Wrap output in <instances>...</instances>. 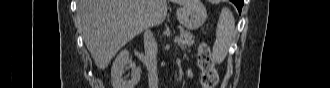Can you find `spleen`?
Here are the masks:
<instances>
[{"label":"spleen","instance_id":"1","mask_svg":"<svg viewBox=\"0 0 330 88\" xmlns=\"http://www.w3.org/2000/svg\"><path fill=\"white\" fill-rule=\"evenodd\" d=\"M236 39L235 20L231 11L224 7L219 16L216 41L213 46L212 57L216 63H222L228 53L230 45Z\"/></svg>","mask_w":330,"mask_h":88}]
</instances>
